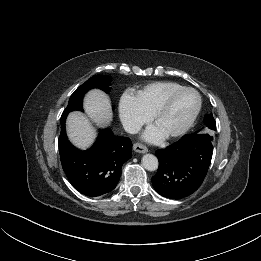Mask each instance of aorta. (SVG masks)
Wrapping results in <instances>:
<instances>
[{"mask_svg": "<svg viewBox=\"0 0 261 261\" xmlns=\"http://www.w3.org/2000/svg\"><path fill=\"white\" fill-rule=\"evenodd\" d=\"M142 165L148 171H155L158 168V159L152 154H145L142 157Z\"/></svg>", "mask_w": 261, "mask_h": 261, "instance_id": "762f6f07", "label": "aorta"}]
</instances>
